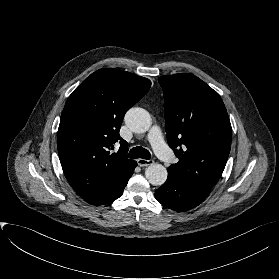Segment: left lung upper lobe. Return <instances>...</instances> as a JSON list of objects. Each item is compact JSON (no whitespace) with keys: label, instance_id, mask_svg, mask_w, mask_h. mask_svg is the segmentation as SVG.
Here are the masks:
<instances>
[{"label":"left lung upper lobe","instance_id":"left-lung-upper-lobe-1","mask_svg":"<svg viewBox=\"0 0 279 279\" xmlns=\"http://www.w3.org/2000/svg\"><path fill=\"white\" fill-rule=\"evenodd\" d=\"M166 132L180 179L211 190L225 168L232 128L220 95L193 74L161 76Z\"/></svg>","mask_w":279,"mask_h":279}]
</instances>
